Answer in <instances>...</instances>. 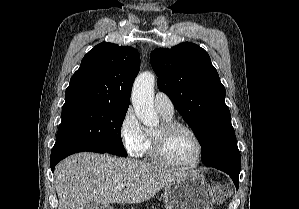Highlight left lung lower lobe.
Returning <instances> with one entry per match:
<instances>
[{"instance_id":"0a47b994","label":"left lung lower lobe","mask_w":299,"mask_h":209,"mask_svg":"<svg viewBox=\"0 0 299 209\" xmlns=\"http://www.w3.org/2000/svg\"><path fill=\"white\" fill-rule=\"evenodd\" d=\"M205 164L207 167H214L227 173L238 189L241 157L237 147L236 137L227 140Z\"/></svg>"}]
</instances>
